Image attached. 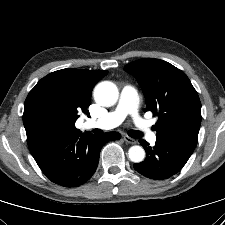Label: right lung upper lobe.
Segmentation results:
<instances>
[{
	"label": "right lung upper lobe",
	"mask_w": 225,
	"mask_h": 225,
	"mask_svg": "<svg viewBox=\"0 0 225 225\" xmlns=\"http://www.w3.org/2000/svg\"><path fill=\"white\" fill-rule=\"evenodd\" d=\"M107 73L67 68L42 78L24 103L23 123L29 149L50 138L81 133L75 127L78 111L89 113L92 88Z\"/></svg>",
	"instance_id": "obj_1"
}]
</instances>
